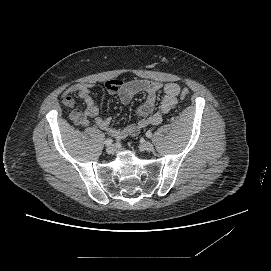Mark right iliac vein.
<instances>
[{"instance_id": "obj_1", "label": "right iliac vein", "mask_w": 271, "mask_h": 271, "mask_svg": "<svg viewBox=\"0 0 271 271\" xmlns=\"http://www.w3.org/2000/svg\"><path fill=\"white\" fill-rule=\"evenodd\" d=\"M106 151L108 154H113L116 151V148L114 145H110L107 147Z\"/></svg>"}]
</instances>
